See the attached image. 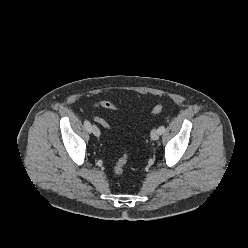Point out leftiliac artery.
Listing matches in <instances>:
<instances>
[{
  "mask_svg": "<svg viewBox=\"0 0 248 248\" xmlns=\"http://www.w3.org/2000/svg\"><path fill=\"white\" fill-rule=\"evenodd\" d=\"M158 130L160 134H163L165 132V126L164 125L160 126Z\"/></svg>",
  "mask_w": 248,
  "mask_h": 248,
  "instance_id": "obj_1",
  "label": "left iliac artery"
}]
</instances>
